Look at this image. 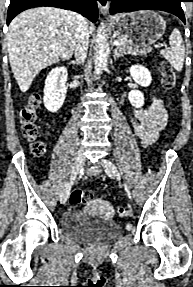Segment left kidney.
Here are the masks:
<instances>
[{
    "label": "left kidney",
    "instance_id": "1",
    "mask_svg": "<svg viewBox=\"0 0 193 287\" xmlns=\"http://www.w3.org/2000/svg\"><path fill=\"white\" fill-rule=\"evenodd\" d=\"M129 70L133 80L142 87H148L151 84V73L146 67L136 64L132 65ZM128 99L130 104L135 108H141L144 105V95L141 91H130Z\"/></svg>",
    "mask_w": 193,
    "mask_h": 287
}]
</instances>
